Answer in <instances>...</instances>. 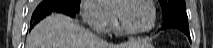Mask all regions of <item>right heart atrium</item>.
<instances>
[{
	"instance_id": "right-heart-atrium-1",
	"label": "right heart atrium",
	"mask_w": 213,
	"mask_h": 48,
	"mask_svg": "<svg viewBox=\"0 0 213 48\" xmlns=\"http://www.w3.org/2000/svg\"><path fill=\"white\" fill-rule=\"evenodd\" d=\"M80 10L83 20L97 32H107L114 24V14L107 10L99 1L82 0Z\"/></svg>"
}]
</instances>
